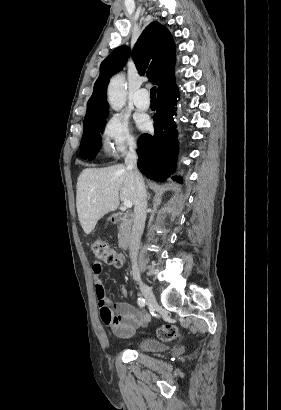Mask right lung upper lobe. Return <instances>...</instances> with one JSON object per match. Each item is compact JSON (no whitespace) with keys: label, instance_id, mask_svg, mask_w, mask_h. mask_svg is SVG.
I'll return each mask as SVG.
<instances>
[{"label":"right lung upper lobe","instance_id":"1","mask_svg":"<svg viewBox=\"0 0 281 410\" xmlns=\"http://www.w3.org/2000/svg\"><path fill=\"white\" fill-rule=\"evenodd\" d=\"M129 48H116L101 64L100 75L95 82L93 94L87 103L84 123L108 114L107 84L112 75L125 65ZM140 75L146 74L158 92L175 84V44L170 32L160 23H150L138 38L132 52Z\"/></svg>","mask_w":281,"mask_h":410}]
</instances>
